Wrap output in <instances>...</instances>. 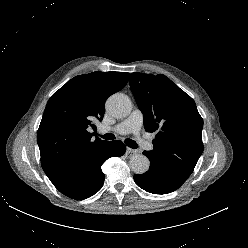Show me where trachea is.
I'll use <instances>...</instances> for the list:
<instances>
[{
    "label": "trachea",
    "mask_w": 248,
    "mask_h": 248,
    "mask_svg": "<svg viewBox=\"0 0 248 248\" xmlns=\"http://www.w3.org/2000/svg\"><path fill=\"white\" fill-rule=\"evenodd\" d=\"M102 138H103V139H106V140H113V139H115V135L112 134V133H107V134H104V135L102 136ZM125 144H126L128 147L133 148V149H135V148L138 147V144H137L134 140H132V139H126V140H125Z\"/></svg>",
    "instance_id": "obj_1"
}]
</instances>
